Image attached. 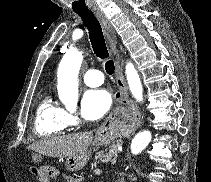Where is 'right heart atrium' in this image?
I'll return each instance as SVG.
<instances>
[{"label": "right heart atrium", "instance_id": "right-heart-atrium-1", "mask_svg": "<svg viewBox=\"0 0 211 182\" xmlns=\"http://www.w3.org/2000/svg\"><path fill=\"white\" fill-rule=\"evenodd\" d=\"M67 121L69 125H76L78 123V117L76 114L67 112Z\"/></svg>", "mask_w": 211, "mask_h": 182}]
</instances>
